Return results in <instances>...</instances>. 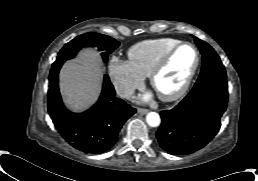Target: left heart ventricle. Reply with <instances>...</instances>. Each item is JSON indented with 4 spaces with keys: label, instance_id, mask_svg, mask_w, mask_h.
Masks as SVG:
<instances>
[{
    "label": "left heart ventricle",
    "instance_id": "1",
    "mask_svg": "<svg viewBox=\"0 0 258 181\" xmlns=\"http://www.w3.org/2000/svg\"><path fill=\"white\" fill-rule=\"evenodd\" d=\"M195 52L190 46L181 47L156 80L159 93L170 94L184 83L195 63Z\"/></svg>",
    "mask_w": 258,
    "mask_h": 181
}]
</instances>
